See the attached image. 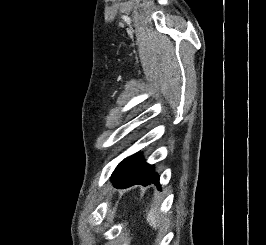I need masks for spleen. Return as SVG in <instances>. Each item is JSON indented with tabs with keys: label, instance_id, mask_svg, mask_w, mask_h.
Listing matches in <instances>:
<instances>
[{
	"label": "spleen",
	"instance_id": "3e777b00",
	"mask_svg": "<svg viewBox=\"0 0 266 245\" xmlns=\"http://www.w3.org/2000/svg\"><path fill=\"white\" fill-rule=\"evenodd\" d=\"M146 219H147V223H149V225H151V227H153V229H156V227H157L156 209H151V211H149Z\"/></svg>",
	"mask_w": 266,
	"mask_h": 245
}]
</instances>
